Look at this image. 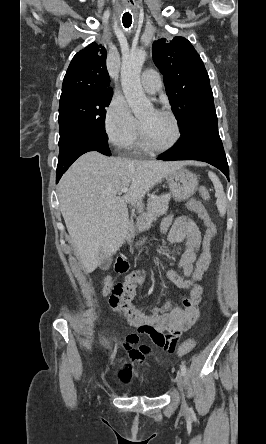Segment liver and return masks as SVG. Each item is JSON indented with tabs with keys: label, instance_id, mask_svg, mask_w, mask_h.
<instances>
[{
	"label": "liver",
	"instance_id": "liver-1",
	"mask_svg": "<svg viewBox=\"0 0 266 444\" xmlns=\"http://www.w3.org/2000/svg\"><path fill=\"white\" fill-rule=\"evenodd\" d=\"M106 157L91 151L78 158L58 185L60 210L86 273L93 272L129 236L127 202L139 208L142 199L163 178L184 165ZM129 187L125 198L116 195ZM102 250V255L100 251Z\"/></svg>",
	"mask_w": 266,
	"mask_h": 444
}]
</instances>
